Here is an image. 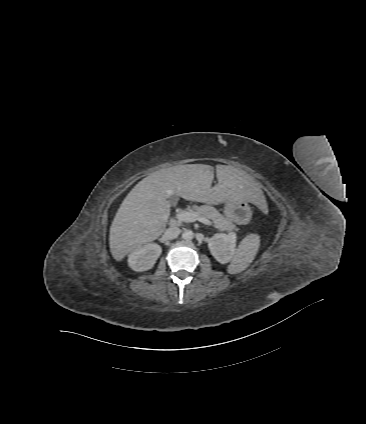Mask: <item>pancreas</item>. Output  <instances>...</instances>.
Instances as JSON below:
<instances>
[{
    "label": "pancreas",
    "mask_w": 366,
    "mask_h": 424,
    "mask_svg": "<svg viewBox=\"0 0 366 424\" xmlns=\"http://www.w3.org/2000/svg\"><path fill=\"white\" fill-rule=\"evenodd\" d=\"M189 210L196 212L197 214L209 218L214 222V227L220 231H238L237 227L231 220L221 215L214 207L210 205L195 206Z\"/></svg>",
    "instance_id": "cf45deb5"
}]
</instances>
